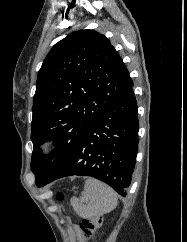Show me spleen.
I'll use <instances>...</instances> for the list:
<instances>
[{
    "instance_id": "obj_1",
    "label": "spleen",
    "mask_w": 187,
    "mask_h": 242,
    "mask_svg": "<svg viewBox=\"0 0 187 242\" xmlns=\"http://www.w3.org/2000/svg\"><path fill=\"white\" fill-rule=\"evenodd\" d=\"M118 203L117 193L105 183L88 178L80 199L73 198L71 205L82 218L98 217L111 212Z\"/></svg>"
}]
</instances>
